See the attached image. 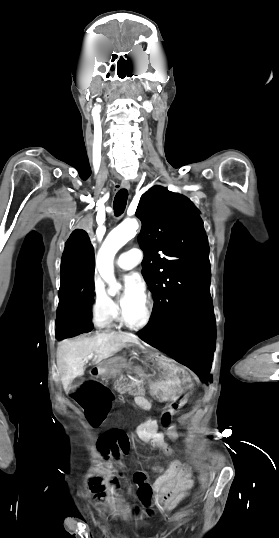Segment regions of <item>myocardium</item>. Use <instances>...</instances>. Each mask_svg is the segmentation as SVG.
Wrapping results in <instances>:
<instances>
[{"label":"myocardium","instance_id":"1","mask_svg":"<svg viewBox=\"0 0 279 538\" xmlns=\"http://www.w3.org/2000/svg\"><path fill=\"white\" fill-rule=\"evenodd\" d=\"M102 222H103V216H102V218H100V215H99L98 218H97V224L101 225ZM140 230H141V224H138L136 222L134 232L130 236H133V235L137 234L138 232H140ZM143 300H144V303H145V311H144V314H143L142 318L139 319L138 321L129 320L124 315L122 307H121L120 320H121V322H122V324L124 326H126L128 329H130L132 331L143 330L144 328H146L149 325V323H150V321L152 319V316H153V303H152V300H151L150 296H148V295H143Z\"/></svg>","mask_w":279,"mask_h":538}]
</instances>
